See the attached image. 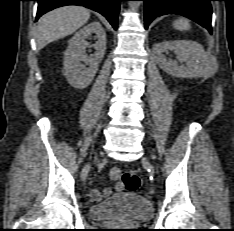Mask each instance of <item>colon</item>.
<instances>
[{"instance_id":"obj_1","label":"colon","mask_w":234,"mask_h":231,"mask_svg":"<svg viewBox=\"0 0 234 231\" xmlns=\"http://www.w3.org/2000/svg\"><path fill=\"white\" fill-rule=\"evenodd\" d=\"M110 177L113 180L121 179L124 188L129 192H136L141 185V180L137 173L132 170L120 172L118 169L111 170Z\"/></svg>"}]
</instances>
